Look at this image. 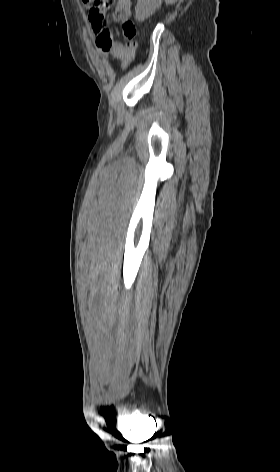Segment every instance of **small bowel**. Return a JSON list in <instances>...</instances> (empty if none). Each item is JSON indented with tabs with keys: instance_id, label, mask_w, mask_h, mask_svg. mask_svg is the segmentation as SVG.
<instances>
[{
	"instance_id": "c3829d8e",
	"label": "small bowel",
	"mask_w": 280,
	"mask_h": 472,
	"mask_svg": "<svg viewBox=\"0 0 280 472\" xmlns=\"http://www.w3.org/2000/svg\"><path fill=\"white\" fill-rule=\"evenodd\" d=\"M84 2L86 3L85 0ZM131 6V0H117L113 15L115 21L128 20L131 16ZM91 25L98 49L104 54H110L115 59L123 61L125 67L133 57L134 48L131 49L127 44L114 40L111 30L106 25L101 26L93 22Z\"/></svg>"
}]
</instances>
